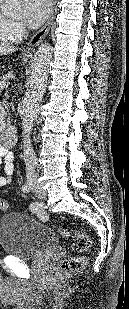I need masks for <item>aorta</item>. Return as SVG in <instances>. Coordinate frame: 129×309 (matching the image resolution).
Listing matches in <instances>:
<instances>
[{"instance_id": "obj_1", "label": "aorta", "mask_w": 129, "mask_h": 309, "mask_svg": "<svg viewBox=\"0 0 129 309\" xmlns=\"http://www.w3.org/2000/svg\"><path fill=\"white\" fill-rule=\"evenodd\" d=\"M22 2L23 0H5L4 13L8 16L19 15ZM51 58V45L49 43H43L34 55L27 89L21 104L20 115L23 128V151L24 156L29 159L36 158L31 143V133L45 93Z\"/></svg>"}]
</instances>
